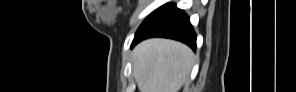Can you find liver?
I'll return each instance as SVG.
<instances>
[{
  "label": "liver",
  "instance_id": "1",
  "mask_svg": "<svg viewBox=\"0 0 296 92\" xmlns=\"http://www.w3.org/2000/svg\"><path fill=\"white\" fill-rule=\"evenodd\" d=\"M194 62V53L185 44L151 38L133 50V76L140 92H178Z\"/></svg>",
  "mask_w": 296,
  "mask_h": 92
}]
</instances>
